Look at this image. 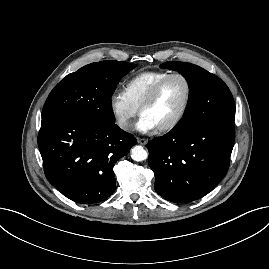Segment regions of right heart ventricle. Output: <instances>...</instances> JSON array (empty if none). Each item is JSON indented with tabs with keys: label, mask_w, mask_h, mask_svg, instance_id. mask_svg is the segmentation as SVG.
<instances>
[{
	"label": "right heart ventricle",
	"mask_w": 269,
	"mask_h": 269,
	"mask_svg": "<svg viewBox=\"0 0 269 269\" xmlns=\"http://www.w3.org/2000/svg\"><path fill=\"white\" fill-rule=\"evenodd\" d=\"M167 71H144L129 79L124 87V92L129 101L139 109L151 89L164 77Z\"/></svg>",
	"instance_id": "right-heart-ventricle-1"
}]
</instances>
